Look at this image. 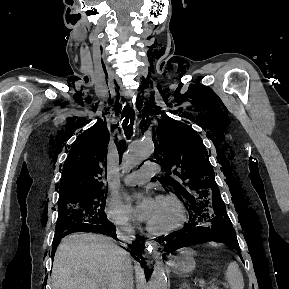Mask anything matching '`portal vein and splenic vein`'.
I'll use <instances>...</instances> for the list:
<instances>
[{"label": "portal vein and splenic vein", "instance_id": "obj_1", "mask_svg": "<svg viewBox=\"0 0 289 289\" xmlns=\"http://www.w3.org/2000/svg\"><path fill=\"white\" fill-rule=\"evenodd\" d=\"M205 280L204 279H201V280H199V287L201 288V289H204V287H205Z\"/></svg>", "mask_w": 289, "mask_h": 289}]
</instances>
